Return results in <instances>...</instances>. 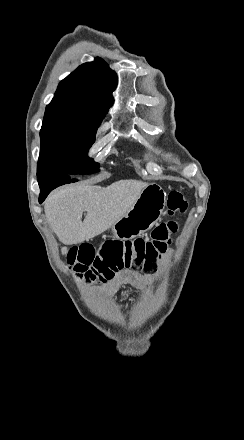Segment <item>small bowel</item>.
<instances>
[{
	"instance_id": "c3829d8e",
	"label": "small bowel",
	"mask_w": 244,
	"mask_h": 440,
	"mask_svg": "<svg viewBox=\"0 0 244 440\" xmlns=\"http://www.w3.org/2000/svg\"><path fill=\"white\" fill-rule=\"evenodd\" d=\"M149 276L133 270H124L117 273L113 279L109 280L104 286L96 289L93 293L98 296H106L115 291L123 283H133L141 287L149 281Z\"/></svg>"
}]
</instances>
